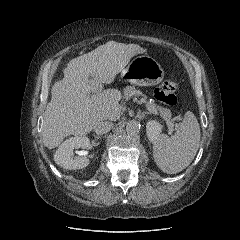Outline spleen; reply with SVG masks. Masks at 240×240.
<instances>
[{"label":"spleen","instance_id":"3e777b00","mask_svg":"<svg viewBox=\"0 0 240 240\" xmlns=\"http://www.w3.org/2000/svg\"><path fill=\"white\" fill-rule=\"evenodd\" d=\"M200 126L191 111L172 138L162 134L153 143V157L157 166L168 174L185 169L194 159L200 143Z\"/></svg>","mask_w":240,"mask_h":240}]
</instances>
